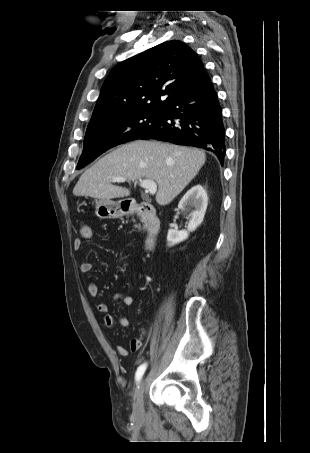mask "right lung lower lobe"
<instances>
[{"label":"right lung lower lobe","mask_w":310,"mask_h":453,"mask_svg":"<svg viewBox=\"0 0 310 453\" xmlns=\"http://www.w3.org/2000/svg\"><path fill=\"white\" fill-rule=\"evenodd\" d=\"M138 139L203 148L213 152L222 165L226 149L222 108L207 72L167 104L161 121Z\"/></svg>","instance_id":"98d812e1"}]
</instances>
